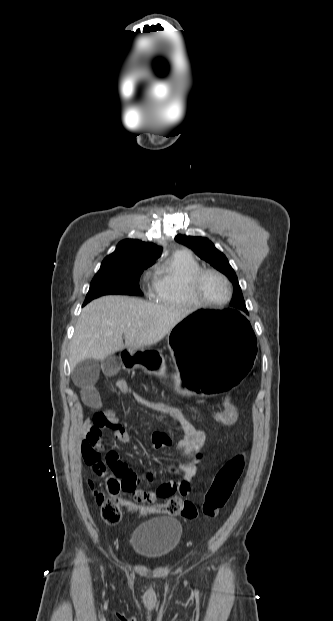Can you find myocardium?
<instances>
[{
	"label": "myocardium",
	"mask_w": 333,
	"mask_h": 621,
	"mask_svg": "<svg viewBox=\"0 0 333 621\" xmlns=\"http://www.w3.org/2000/svg\"><path fill=\"white\" fill-rule=\"evenodd\" d=\"M208 274L215 275L225 282L227 289H228V293L225 299L221 301H210L201 295L200 283L203 277ZM189 292L195 304L209 306V307H217V306H223L230 301L232 294H233V285L231 281L229 280V278L222 272L216 269H212V268H205V269H200L197 273L193 275V277L191 278L189 282Z\"/></svg>",
	"instance_id": "obj_1"
}]
</instances>
